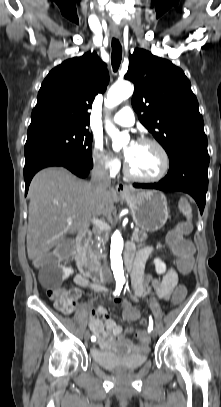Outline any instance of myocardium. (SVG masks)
Returning <instances> with one entry per match:
<instances>
[{"mask_svg": "<svg viewBox=\"0 0 221 407\" xmlns=\"http://www.w3.org/2000/svg\"><path fill=\"white\" fill-rule=\"evenodd\" d=\"M137 143L150 144V145H153L154 147H156L163 158V168L158 175L153 176V177H145V176H141V175H138L135 172H133L132 169L130 168L128 162L126 161L125 165H124L125 174L133 180H136L139 182H144V183H155V182H158V181L162 180L163 178H165L166 175L168 174V172L170 170V166H171V159H170L169 153L166 150V148L159 141H157L153 138H148V137L140 138Z\"/></svg>", "mask_w": 221, "mask_h": 407, "instance_id": "1", "label": "myocardium"}]
</instances>
